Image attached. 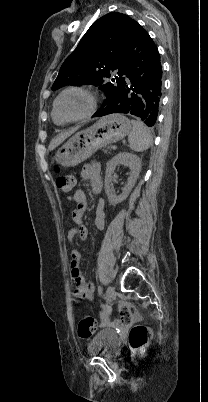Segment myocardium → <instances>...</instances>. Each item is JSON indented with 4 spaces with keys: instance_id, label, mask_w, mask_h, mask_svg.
I'll return each mask as SVG.
<instances>
[{
    "instance_id": "1",
    "label": "myocardium",
    "mask_w": 208,
    "mask_h": 402,
    "mask_svg": "<svg viewBox=\"0 0 208 402\" xmlns=\"http://www.w3.org/2000/svg\"><path fill=\"white\" fill-rule=\"evenodd\" d=\"M70 91H79V92H83V93L88 94L89 96H91L92 105H91V108L89 109L88 112H86L85 114H83V115H81L79 117H76V118H67V117L63 116L59 112V110H58L59 99L65 93L70 92ZM99 101H100V99H99V96H98L97 92H95V91H93L91 89H88V88L80 87V86H69V87L63 89L57 95V97L55 98L54 103H53V110H54L55 114L59 117V119L61 121L65 122V123H72V122L82 121V120L90 118L96 112L98 104H99Z\"/></svg>"
}]
</instances>
